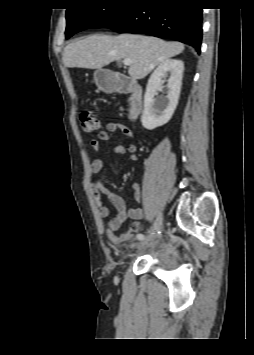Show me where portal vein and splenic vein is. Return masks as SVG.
Segmentation results:
<instances>
[{"instance_id":"18ae733b","label":"portal vein and splenic vein","mask_w":254,"mask_h":355,"mask_svg":"<svg viewBox=\"0 0 254 355\" xmlns=\"http://www.w3.org/2000/svg\"><path fill=\"white\" fill-rule=\"evenodd\" d=\"M131 63H132V60H131V59H124V60H123V64H124V65H127V66H128V65H131Z\"/></svg>"}]
</instances>
